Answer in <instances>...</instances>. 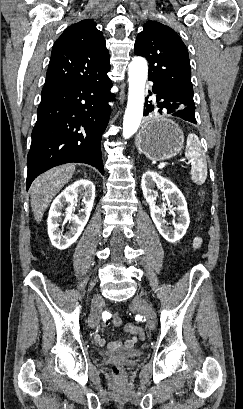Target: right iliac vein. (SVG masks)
I'll list each match as a JSON object with an SVG mask.
<instances>
[{"instance_id": "1", "label": "right iliac vein", "mask_w": 243, "mask_h": 409, "mask_svg": "<svg viewBox=\"0 0 243 409\" xmlns=\"http://www.w3.org/2000/svg\"><path fill=\"white\" fill-rule=\"evenodd\" d=\"M98 300H99V297L97 296L94 299L93 307H92L90 317H89V321H88L90 328H94L97 325L98 321H99L100 309H99V306H98Z\"/></svg>"}]
</instances>
